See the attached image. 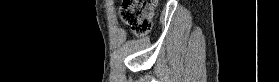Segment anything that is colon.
<instances>
[{
	"label": "colon",
	"instance_id": "1",
	"mask_svg": "<svg viewBox=\"0 0 279 82\" xmlns=\"http://www.w3.org/2000/svg\"><path fill=\"white\" fill-rule=\"evenodd\" d=\"M159 0H124L120 8V20L133 33L142 36L151 27Z\"/></svg>",
	"mask_w": 279,
	"mask_h": 82
}]
</instances>
